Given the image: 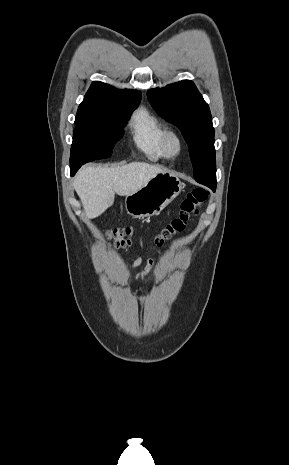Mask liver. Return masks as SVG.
Masks as SVG:
<instances>
[{"mask_svg":"<svg viewBox=\"0 0 289 465\" xmlns=\"http://www.w3.org/2000/svg\"><path fill=\"white\" fill-rule=\"evenodd\" d=\"M162 172L165 171L143 162L114 168L86 166L75 176L73 187L87 216L96 218L113 205L115 194H132Z\"/></svg>","mask_w":289,"mask_h":465,"instance_id":"liver-1","label":"liver"}]
</instances>
